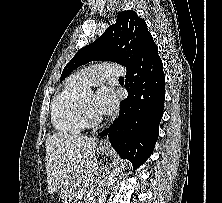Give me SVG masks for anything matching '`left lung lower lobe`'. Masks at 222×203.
<instances>
[{"label": "left lung lower lobe", "instance_id": "1", "mask_svg": "<svg viewBox=\"0 0 222 203\" xmlns=\"http://www.w3.org/2000/svg\"><path fill=\"white\" fill-rule=\"evenodd\" d=\"M126 70L128 97L120 103L118 118L99 136L108 135L117 153L139 167L154 150L165 100L162 60L151 34L135 63Z\"/></svg>", "mask_w": 222, "mask_h": 203}]
</instances>
